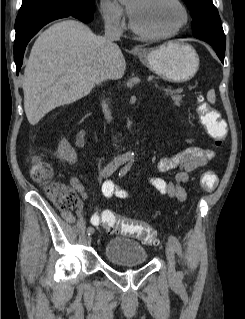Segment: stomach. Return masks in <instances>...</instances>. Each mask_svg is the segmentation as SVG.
Here are the masks:
<instances>
[{
  "label": "stomach",
  "mask_w": 245,
  "mask_h": 319,
  "mask_svg": "<svg viewBox=\"0 0 245 319\" xmlns=\"http://www.w3.org/2000/svg\"><path fill=\"white\" fill-rule=\"evenodd\" d=\"M140 61L157 75L172 81L190 80L199 69L195 49L186 43L168 42L138 53Z\"/></svg>",
  "instance_id": "0dacf381"
}]
</instances>
